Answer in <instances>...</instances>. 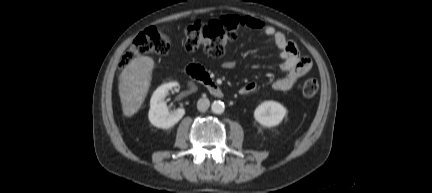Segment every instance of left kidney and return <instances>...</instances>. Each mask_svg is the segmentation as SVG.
I'll return each instance as SVG.
<instances>
[{
	"mask_svg": "<svg viewBox=\"0 0 432 193\" xmlns=\"http://www.w3.org/2000/svg\"><path fill=\"white\" fill-rule=\"evenodd\" d=\"M285 115V107L275 101H264L254 111L255 120L265 127L279 125Z\"/></svg>",
	"mask_w": 432,
	"mask_h": 193,
	"instance_id": "1",
	"label": "left kidney"
}]
</instances>
